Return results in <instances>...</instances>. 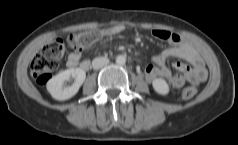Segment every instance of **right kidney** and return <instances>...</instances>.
Listing matches in <instances>:
<instances>
[{"instance_id": "obj_1", "label": "right kidney", "mask_w": 238, "mask_h": 145, "mask_svg": "<svg viewBox=\"0 0 238 145\" xmlns=\"http://www.w3.org/2000/svg\"><path fill=\"white\" fill-rule=\"evenodd\" d=\"M74 79L71 86H66L65 82ZM86 78V73L81 68H70L61 71L47 82V90L51 96L59 101H64L73 97L79 90Z\"/></svg>"}]
</instances>
